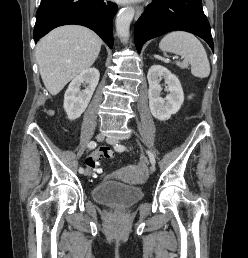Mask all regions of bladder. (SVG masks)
I'll return each instance as SVG.
<instances>
[{
    "label": "bladder",
    "instance_id": "1",
    "mask_svg": "<svg viewBox=\"0 0 248 258\" xmlns=\"http://www.w3.org/2000/svg\"><path fill=\"white\" fill-rule=\"evenodd\" d=\"M92 196L98 203L127 208L142 199L143 191L121 183L104 182L93 188Z\"/></svg>",
    "mask_w": 248,
    "mask_h": 258
}]
</instances>
